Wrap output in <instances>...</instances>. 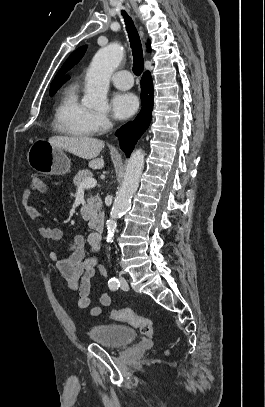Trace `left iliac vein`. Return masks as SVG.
<instances>
[{
    "label": "left iliac vein",
    "mask_w": 265,
    "mask_h": 407,
    "mask_svg": "<svg viewBox=\"0 0 265 407\" xmlns=\"http://www.w3.org/2000/svg\"><path fill=\"white\" fill-rule=\"evenodd\" d=\"M128 283H127V281L125 280V279H122L121 280V289L122 290H128Z\"/></svg>",
    "instance_id": "1"
}]
</instances>
